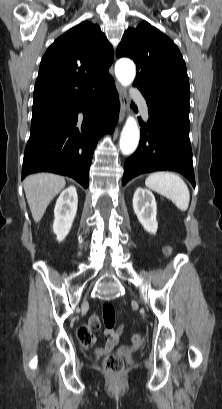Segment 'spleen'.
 I'll return each instance as SVG.
<instances>
[{
  "label": "spleen",
  "mask_w": 222,
  "mask_h": 409,
  "mask_svg": "<svg viewBox=\"0 0 222 409\" xmlns=\"http://www.w3.org/2000/svg\"><path fill=\"white\" fill-rule=\"evenodd\" d=\"M145 185L170 199L180 211L188 209L190 193L180 176L171 172H156L146 178Z\"/></svg>",
  "instance_id": "obj_1"
}]
</instances>
